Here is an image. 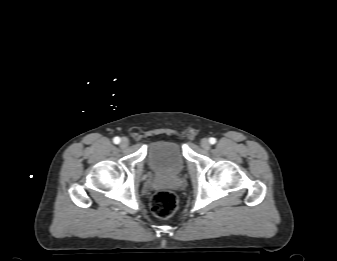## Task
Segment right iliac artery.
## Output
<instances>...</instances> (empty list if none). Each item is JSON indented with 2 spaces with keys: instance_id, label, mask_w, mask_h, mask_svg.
Returning <instances> with one entry per match:
<instances>
[{
  "instance_id": "right-iliac-artery-1",
  "label": "right iliac artery",
  "mask_w": 337,
  "mask_h": 261,
  "mask_svg": "<svg viewBox=\"0 0 337 261\" xmlns=\"http://www.w3.org/2000/svg\"><path fill=\"white\" fill-rule=\"evenodd\" d=\"M113 142H114L115 144H119V143H120V138H119V137H115V138L113 139Z\"/></svg>"
}]
</instances>
